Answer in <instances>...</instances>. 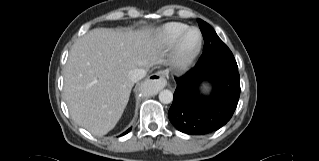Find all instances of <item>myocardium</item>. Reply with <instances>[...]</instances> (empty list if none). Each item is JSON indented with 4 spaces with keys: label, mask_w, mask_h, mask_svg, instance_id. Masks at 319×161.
<instances>
[{
    "label": "myocardium",
    "mask_w": 319,
    "mask_h": 161,
    "mask_svg": "<svg viewBox=\"0 0 319 161\" xmlns=\"http://www.w3.org/2000/svg\"><path fill=\"white\" fill-rule=\"evenodd\" d=\"M196 31L198 33L199 39L195 48L189 52H184L182 44L186 35L191 32ZM203 43V35L199 28L197 27H188L182 31L176 38L172 46V60L176 67L185 68L189 66L193 60L197 57L198 53L201 50Z\"/></svg>",
    "instance_id": "1"
}]
</instances>
